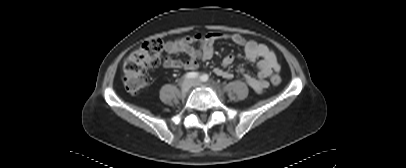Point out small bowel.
Returning <instances> with one entry per match:
<instances>
[{
  "label": "small bowel",
  "mask_w": 406,
  "mask_h": 168,
  "mask_svg": "<svg viewBox=\"0 0 406 168\" xmlns=\"http://www.w3.org/2000/svg\"><path fill=\"white\" fill-rule=\"evenodd\" d=\"M218 40H229L243 47L245 57L249 62H257V76H251L245 72L242 66L239 71L245 83L255 92L262 93L268 87V78L275 72L280 71V64L275 53L266 45L254 40H247L242 35L213 32L206 35L185 36L180 39L170 40L165 43L167 56L163 60V66L169 69H194L198 67L199 59L208 60L213 56L214 43ZM198 45V48H195ZM184 54L187 59L182 61L173 58L174 55ZM234 61L233 55H227L220 67L215 68L216 75L230 79L232 73L227 69Z\"/></svg>",
  "instance_id": "c3829d8e"
}]
</instances>
